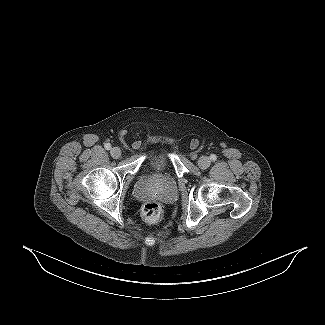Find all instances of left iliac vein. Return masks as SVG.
<instances>
[{
  "label": "left iliac vein",
  "instance_id": "left-iliac-vein-1",
  "mask_svg": "<svg viewBox=\"0 0 325 325\" xmlns=\"http://www.w3.org/2000/svg\"><path fill=\"white\" fill-rule=\"evenodd\" d=\"M210 164H211V160L207 156H202L198 160V166L201 169H207L210 166Z\"/></svg>",
  "mask_w": 325,
  "mask_h": 325
}]
</instances>
